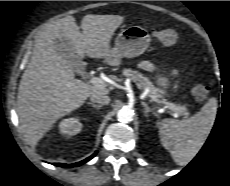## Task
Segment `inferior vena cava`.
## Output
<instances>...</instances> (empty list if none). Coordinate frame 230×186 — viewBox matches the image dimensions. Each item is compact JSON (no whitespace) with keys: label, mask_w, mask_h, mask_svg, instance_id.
Masks as SVG:
<instances>
[{"label":"inferior vena cava","mask_w":230,"mask_h":186,"mask_svg":"<svg viewBox=\"0 0 230 186\" xmlns=\"http://www.w3.org/2000/svg\"><path fill=\"white\" fill-rule=\"evenodd\" d=\"M90 100L94 103H100L103 105L109 104L110 103V97L105 95V94H101V93H93L90 96Z\"/></svg>","instance_id":"602c4592"}]
</instances>
